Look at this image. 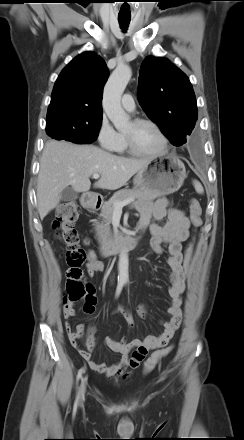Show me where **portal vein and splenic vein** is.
Returning a JSON list of instances; mask_svg holds the SVG:
<instances>
[{
    "label": "portal vein and splenic vein",
    "instance_id": "portal-vein-and-splenic-vein-1",
    "mask_svg": "<svg viewBox=\"0 0 244 440\" xmlns=\"http://www.w3.org/2000/svg\"><path fill=\"white\" fill-rule=\"evenodd\" d=\"M100 177V175L99 174H93V178L94 179H98ZM135 199L134 198H130V199H127V200H125V201H123V202H114V207H115V210L116 211H122V208L124 207V206H126V205H128V204H130L131 202H133Z\"/></svg>",
    "mask_w": 244,
    "mask_h": 440
}]
</instances>
